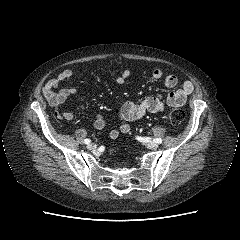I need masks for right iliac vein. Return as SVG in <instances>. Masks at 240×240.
I'll return each instance as SVG.
<instances>
[{"instance_id":"1","label":"right iliac vein","mask_w":240,"mask_h":240,"mask_svg":"<svg viewBox=\"0 0 240 240\" xmlns=\"http://www.w3.org/2000/svg\"><path fill=\"white\" fill-rule=\"evenodd\" d=\"M95 148H96V145L94 143H89L87 145V149H89V150H94Z\"/></svg>"}]
</instances>
